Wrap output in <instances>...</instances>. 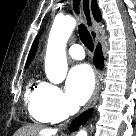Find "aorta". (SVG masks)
<instances>
[{"instance_id":"1","label":"aorta","mask_w":136,"mask_h":136,"mask_svg":"<svg viewBox=\"0 0 136 136\" xmlns=\"http://www.w3.org/2000/svg\"><path fill=\"white\" fill-rule=\"evenodd\" d=\"M76 26L72 16L56 17L52 25L46 56L45 72L50 82L61 83L67 74L66 44ZM76 136H87L85 130H80Z\"/></svg>"}]
</instances>
